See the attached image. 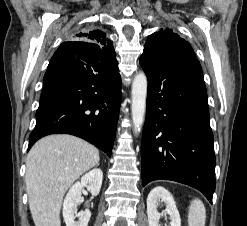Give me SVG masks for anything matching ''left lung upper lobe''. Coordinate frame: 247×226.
Instances as JSON below:
<instances>
[{
  "instance_id": "1",
  "label": "left lung upper lobe",
  "mask_w": 247,
  "mask_h": 226,
  "mask_svg": "<svg viewBox=\"0 0 247 226\" xmlns=\"http://www.w3.org/2000/svg\"><path fill=\"white\" fill-rule=\"evenodd\" d=\"M143 52L169 59L196 58L191 45L169 29L151 34Z\"/></svg>"
}]
</instances>
